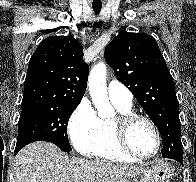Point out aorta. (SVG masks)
I'll use <instances>...</instances> for the list:
<instances>
[{"instance_id": "aorta-1", "label": "aorta", "mask_w": 196, "mask_h": 182, "mask_svg": "<svg viewBox=\"0 0 196 182\" xmlns=\"http://www.w3.org/2000/svg\"><path fill=\"white\" fill-rule=\"evenodd\" d=\"M88 87L91 99L95 105L98 116L103 119L114 116V108L109 102L106 88V65L98 63L89 74Z\"/></svg>"}]
</instances>
